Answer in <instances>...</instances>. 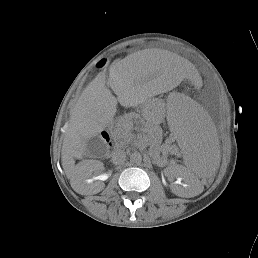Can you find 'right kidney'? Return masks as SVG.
Segmentation results:
<instances>
[{
  "instance_id": "right-kidney-1",
  "label": "right kidney",
  "mask_w": 258,
  "mask_h": 258,
  "mask_svg": "<svg viewBox=\"0 0 258 258\" xmlns=\"http://www.w3.org/2000/svg\"><path fill=\"white\" fill-rule=\"evenodd\" d=\"M90 165V166H89ZM93 166L95 167V168H93ZM86 167H88L89 169H90V171H91V173L93 172V171H99V170H101L103 167H101L100 166V162H97V161H92V162H90V164H88V163H86ZM98 177H102V180H105L106 179V176H98ZM89 183H92V180H87ZM103 187H104V185H103V183L101 184V186L99 187V189H97V190H94V191H92V193H97V192H99L100 190H102L103 189Z\"/></svg>"
}]
</instances>
